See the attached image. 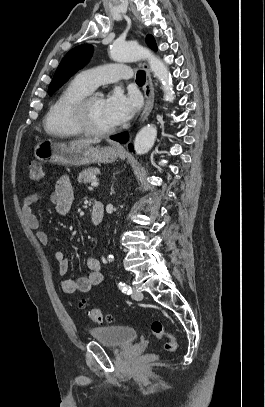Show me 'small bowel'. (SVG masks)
<instances>
[{
    "mask_svg": "<svg viewBox=\"0 0 265 407\" xmlns=\"http://www.w3.org/2000/svg\"><path fill=\"white\" fill-rule=\"evenodd\" d=\"M73 189L71 179L67 175L58 178L53 191L36 190L30 193L25 199L22 206V214L27 225L36 232L37 239L43 245L50 243V236L41 230L40 222L33 212V205L41 200H48L55 206L56 212L60 216H67L73 204ZM57 263L58 273L64 276L69 267V260L62 251H56L53 254ZM88 274L77 280L63 279L60 287L64 293L88 292L92 287L102 282L101 264L95 257L87 259Z\"/></svg>",
    "mask_w": 265,
    "mask_h": 407,
    "instance_id": "1",
    "label": "small bowel"
}]
</instances>
